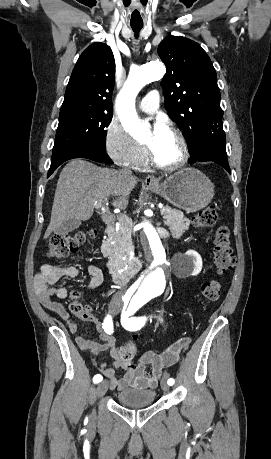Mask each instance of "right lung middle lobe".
<instances>
[{
    "instance_id": "obj_1",
    "label": "right lung middle lobe",
    "mask_w": 271,
    "mask_h": 459,
    "mask_svg": "<svg viewBox=\"0 0 271 459\" xmlns=\"http://www.w3.org/2000/svg\"><path fill=\"white\" fill-rule=\"evenodd\" d=\"M112 116L113 113H60L53 152L76 144L105 148V128Z\"/></svg>"
}]
</instances>
